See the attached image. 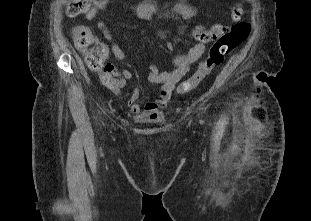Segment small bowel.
Masks as SVG:
<instances>
[{
  "mask_svg": "<svg viewBox=\"0 0 311 221\" xmlns=\"http://www.w3.org/2000/svg\"><path fill=\"white\" fill-rule=\"evenodd\" d=\"M110 0H96L93 6L86 13L87 20L96 19L104 10ZM138 17L146 22L149 27L159 37H164V34L159 31L153 22V16L168 14L181 18L183 21L189 20L195 16L196 10L185 2L175 4L170 10L163 11L156 3L151 0H145L139 3L136 7ZM98 30L103 34L105 39L110 44V50L114 57L119 61L127 59L126 54L121 49L119 44L113 39L112 34L108 30L106 24L98 20L96 24ZM183 25L180 32H182ZM205 52V45L202 42L192 45L186 52H180L173 58L174 69L171 71L161 72L157 65L151 64L148 68V81L151 84H160L158 96L146 104L140 102L141 89L135 87L128 99V106L133 115L140 120L156 119L161 110L166 106L171 98L175 84L188 72L189 66L198 61ZM119 84L113 91L120 93L125 86V82L133 78V73L128 68H123L119 72Z\"/></svg>",
  "mask_w": 311,
  "mask_h": 221,
  "instance_id": "small-bowel-1",
  "label": "small bowel"
}]
</instances>
